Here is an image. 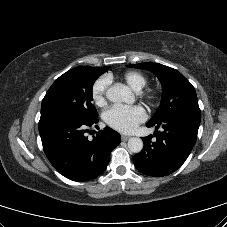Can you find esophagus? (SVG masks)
<instances>
[{
    "instance_id": "34e87169",
    "label": "esophagus",
    "mask_w": 227,
    "mask_h": 227,
    "mask_svg": "<svg viewBox=\"0 0 227 227\" xmlns=\"http://www.w3.org/2000/svg\"><path fill=\"white\" fill-rule=\"evenodd\" d=\"M121 139H122V141H127V140L130 139V136L122 135V136H121Z\"/></svg>"
}]
</instances>
